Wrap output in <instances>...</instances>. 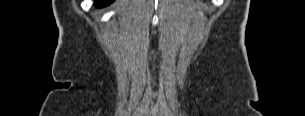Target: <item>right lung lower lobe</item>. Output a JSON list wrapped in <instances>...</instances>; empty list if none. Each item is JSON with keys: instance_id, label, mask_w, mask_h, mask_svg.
<instances>
[{"instance_id": "98d812e1", "label": "right lung lower lobe", "mask_w": 305, "mask_h": 116, "mask_svg": "<svg viewBox=\"0 0 305 116\" xmlns=\"http://www.w3.org/2000/svg\"><path fill=\"white\" fill-rule=\"evenodd\" d=\"M112 2V0H96V6L97 7H104L106 5H109Z\"/></svg>"}]
</instances>
